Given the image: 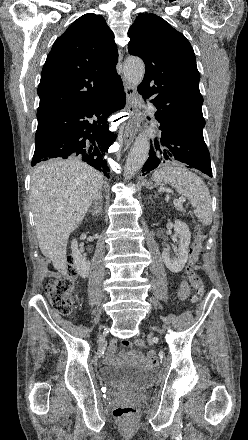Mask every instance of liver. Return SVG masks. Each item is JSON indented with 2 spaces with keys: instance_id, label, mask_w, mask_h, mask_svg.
<instances>
[{
  "instance_id": "obj_1",
  "label": "liver",
  "mask_w": 248,
  "mask_h": 440,
  "mask_svg": "<svg viewBox=\"0 0 248 440\" xmlns=\"http://www.w3.org/2000/svg\"><path fill=\"white\" fill-rule=\"evenodd\" d=\"M103 175L77 158L37 165L31 176L30 204L42 254L61 274L67 272L70 234L84 219Z\"/></svg>"
}]
</instances>
